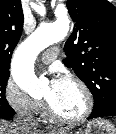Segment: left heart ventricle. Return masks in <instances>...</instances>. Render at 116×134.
Wrapping results in <instances>:
<instances>
[{
  "instance_id": "1",
  "label": "left heart ventricle",
  "mask_w": 116,
  "mask_h": 134,
  "mask_svg": "<svg viewBox=\"0 0 116 134\" xmlns=\"http://www.w3.org/2000/svg\"><path fill=\"white\" fill-rule=\"evenodd\" d=\"M44 96L58 113L67 117L77 116L84 109V96L73 83L62 81L58 92L54 95H51L50 87H47Z\"/></svg>"
}]
</instances>
